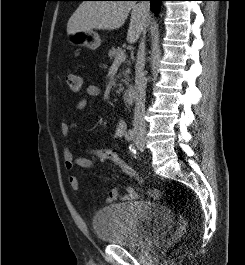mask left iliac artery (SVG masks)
I'll return each mask as SVG.
<instances>
[{
    "label": "left iliac artery",
    "mask_w": 245,
    "mask_h": 265,
    "mask_svg": "<svg viewBox=\"0 0 245 265\" xmlns=\"http://www.w3.org/2000/svg\"><path fill=\"white\" fill-rule=\"evenodd\" d=\"M129 149H130V151L132 152L133 155H136V149H135V147L132 144L129 146Z\"/></svg>",
    "instance_id": "1"
}]
</instances>
